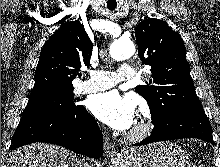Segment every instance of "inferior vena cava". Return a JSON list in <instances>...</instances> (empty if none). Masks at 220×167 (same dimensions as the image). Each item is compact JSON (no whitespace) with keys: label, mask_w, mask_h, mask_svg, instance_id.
Returning <instances> with one entry per match:
<instances>
[{"label":"inferior vena cava","mask_w":220,"mask_h":167,"mask_svg":"<svg viewBox=\"0 0 220 167\" xmlns=\"http://www.w3.org/2000/svg\"><path fill=\"white\" fill-rule=\"evenodd\" d=\"M77 167H91V166H89L88 164H85V163H82L81 161H79L77 163Z\"/></svg>","instance_id":"602c4592"}]
</instances>
